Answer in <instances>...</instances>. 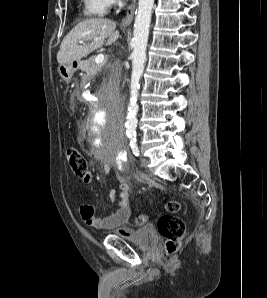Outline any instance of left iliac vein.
I'll use <instances>...</instances> for the list:
<instances>
[{
    "instance_id": "obj_1",
    "label": "left iliac vein",
    "mask_w": 267,
    "mask_h": 298,
    "mask_svg": "<svg viewBox=\"0 0 267 298\" xmlns=\"http://www.w3.org/2000/svg\"><path fill=\"white\" fill-rule=\"evenodd\" d=\"M140 163H141V166L143 168H147L148 167V164H149V160L147 158H145V157H142L140 159Z\"/></svg>"
}]
</instances>
